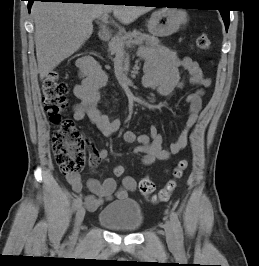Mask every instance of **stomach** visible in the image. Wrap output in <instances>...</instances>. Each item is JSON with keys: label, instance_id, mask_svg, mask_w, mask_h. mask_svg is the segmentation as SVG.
Segmentation results:
<instances>
[{"label": "stomach", "instance_id": "stomach-1", "mask_svg": "<svg viewBox=\"0 0 259 266\" xmlns=\"http://www.w3.org/2000/svg\"><path fill=\"white\" fill-rule=\"evenodd\" d=\"M188 21L186 11L181 9H159L148 21V31L153 36L167 37L176 33Z\"/></svg>", "mask_w": 259, "mask_h": 266}]
</instances>
